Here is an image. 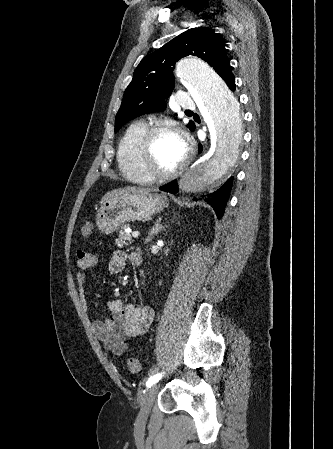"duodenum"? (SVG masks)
<instances>
[{
    "mask_svg": "<svg viewBox=\"0 0 333 449\" xmlns=\"http://www.w3.org/2000/svg\"><path fill=\"white\" fill-rule=\"evenodd\" d=\"M141 262H142V260H141L140 255H139V254H136V257H135V263L139 265V264H141Z\"/></svg>",
    "mask_w": 333,
    "mask_h": 449,
    "instance_id": "obj_1",
    "label": "duodenum"
}]
</instances>
